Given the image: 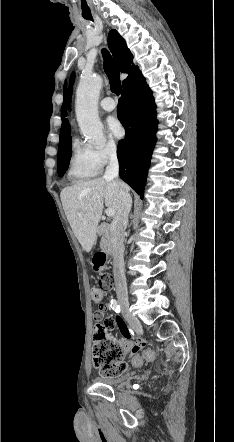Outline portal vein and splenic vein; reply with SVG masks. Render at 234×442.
<instances>
[{
    "instance_id": "obj_1",
    "label": "portal vein and splenic vein",
    "mask_w": 234,
    "mask_h": 442,
    "mask_svg": "<svg viewBox=\"0 0 234 442\" xmlns=\"http://www.w3.org/2000/svg\"><path fill=\"white\" fill-rule=\"evenodd\" d=\"M105 213L107 216L112 217L115 215V210L113 208H107Z\"/></svg>"
}]
</instances>
